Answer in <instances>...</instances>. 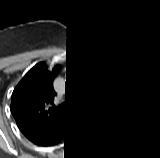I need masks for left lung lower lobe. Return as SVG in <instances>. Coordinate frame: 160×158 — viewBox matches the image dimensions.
I'll use <instances>...</instances> for the list:
<instances>
[{
  "label": "left lung lower lobe",
  "instance_id": "0a47b994",
  "mask_svg": "<svg viewBox=\"0 0 160 158\" xmlns=\"http://www.w3.org/2000/svg\"><path fill=\"white\" fill-rule=\"evenodd\" d=\"M137 133L108 124L101 117L100 127L91 132V140L103 150H116L129 144Z\"/></svg>",
  "mask_w": 160,
  "mask_h": 158
}]
</instances>
